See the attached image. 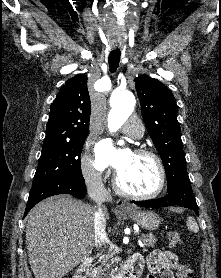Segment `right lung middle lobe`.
<instances>
[{"mask_svg": "<svg viewBox=\"0 0 221 278\" xmlns=\"http://www.w3.org/2000/svg\"><path fill=\"white\" fill-rule=\"evenodd\" d=\"M86 137L82 135L44 142L31 189L59 178L83 181L80 155Z\"/></svg>", "mask_w": 221, "mask_h": 278, "instance_id": "right-lung-middle-lobe-1", "label": "right lung middle lobe"}]
</instances>
